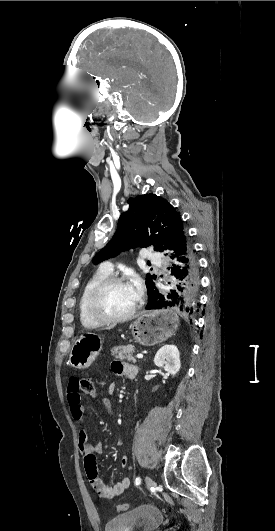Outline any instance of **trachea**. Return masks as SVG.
<instances>
[{
    "mask_svg": "<svg viewBox=\"0 0 275 531\" xmlns=\"http://www.w3.org/2000/svg\"><path fill=\"white\" fill-rule=\"evenodd\" d=\"M147 264H148V266H151V263H147Z\"/></svg>",
    "mask_w": 275,
    "mask_h": 531,
    "instance_id": "obj_1",
    "label": "trachea"
}]
</instances>
